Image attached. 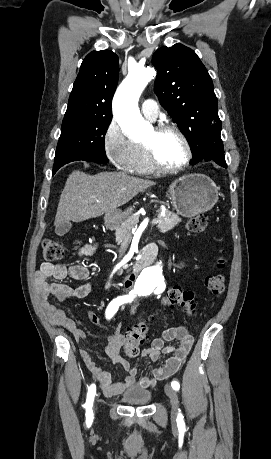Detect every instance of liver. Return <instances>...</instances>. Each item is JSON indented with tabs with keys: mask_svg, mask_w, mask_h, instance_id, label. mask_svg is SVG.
<instances>
[{
	"mask_svg": "<svg viewBox=\"0 0 271 459\" xmlns=\"http://www.w3.org/2000/svg\"><path fill=\"white\" fill-rule=\"evenodd\" d=\"M153 186L150 180L127 176L124 172H101L89 176L72 172L60 196L55 226L61 222H84L102 214L115 212L139 192Z\"/></svg>",
	"mask_w": 271,
	"mask_h": 459,
	"instance_id": "liver-1",
	"label": "liver"
}]
</instances>
